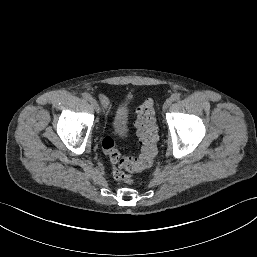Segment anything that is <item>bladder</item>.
I'll list each match as a JSON object with an SVG mask.
<instances>
[{
  "label": "bladder",
  "mask_w": 257,
  "mask_h": 257,
  "mask_svg": "<svg viewBox=\"0 0 257 257\" xmlns=\"http://www.w3.org/2000/svg\"><path fill=\"white\" fill-rule=\"evenodd\" d=\"M130 110L125 103H121L112 118V127L117 135H123L129 130Z\"/></svg>",
  "instance_id": "1"
}]
</instances>
